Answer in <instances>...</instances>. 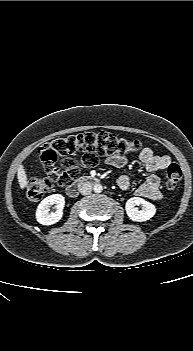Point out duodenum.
Returning <instances> with one entry per match:
<instances>
[{
  "mask_svg": "<svg viewBox=\"0 0 193 351\" xmlns=\"http://www.w3.org/2000/svg\"><path fill=\"white\" fill-rule=\"evenodd\" d=\"M98 182V178L93 176H81L75 183L71 184L67 189L66 193L69 197H75L81 187L87 184H94Z\"/></svg>",
  "mask_w": 193,
  "mask_h": 351,
  "instance_id": "410a0bca",
  "label": "duodenum"
}]
</instances>
